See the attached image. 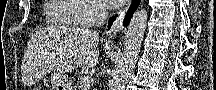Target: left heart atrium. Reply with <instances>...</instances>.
<instances>
[{"label": "left heart atrium", "instance_id": "obj_1", "mask_svg": "<svg viewBox=\"0 0 216 90\" xmlns=\"http://www.w3.org/2000/svg\"><path fill=\"white\" fill-rule=\"evenodd\" d=\"M100 3V7H121L123 0H97Z\"/></svg>", "mask_w": 216, "mask_h": 90}]
</instances>
